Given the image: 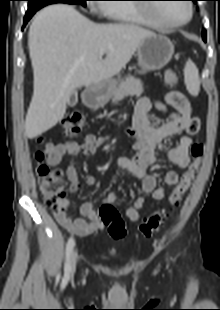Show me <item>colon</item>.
Wrapping results in <instances>:
<instances>
[{
	"instance_id": "colon-1",
	"label": "colon",
	"mask_w": 220,
	"mask_h": 310,
	"mask_svg": "<svg viewBox=\"0 0 220 310\" xmlns=\"http://www.w3.org/2000/svg\"><path fill=\"white\" fill-rule=\"evenodd\" d=\"M164 81L168 86H177L180 82L179 76L173 69H166ZM84 116L80 112H73L66 116L62 121V127L66 135L74 137L80 134L84 126ZM41 142V139L38 140ZM203 144L196 142L191 148L192 161L185 171L180 181L176 184L169 199L168 206L149 215L140 225L139 232L145 237H151L158 231L164 221L168 218L172 208L181 200L193 183L196 171L199 169L203 155ZM35 159L38 164L36 174L40 190L43 194L44 202L47 207L56 210L64 199L65 182L62 178V171L44 164V153L37 150ZM99 215L103 225L108 227L109 234L114 239H121L126 235V227L118 210L110 203L103 204L99 209Z\"/></svg>"
}]
</instances>
